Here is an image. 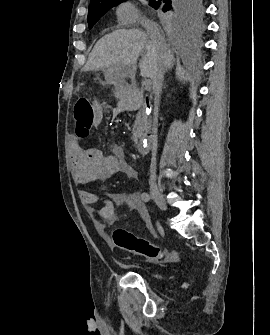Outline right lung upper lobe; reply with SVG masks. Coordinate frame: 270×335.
<instances>
[{
  "instance_id": "1",
  "label": "right lung upper lobe",
  "mask_w": 270,
  "mask_h": 335,
  "mask_svg": "<svg viewBox=\"0 0 270 335\" xmlns=\"http://www.w3.org/2000/svg\"><path fill=\"white\" fill-rule=\"evenodd\" d=\"M119 0H90L89 6H98L106 3H115Z\"/></svg>"
}]
</instances>
